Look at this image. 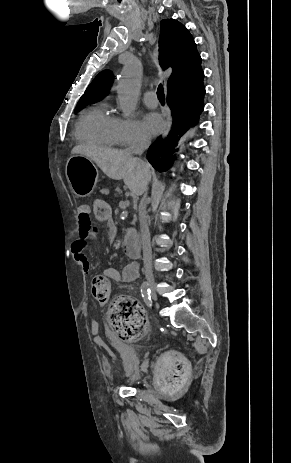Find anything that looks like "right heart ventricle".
Here are the masks:
<instances>
[{
    "label": "right heart ventricle",
    "instance_id": "obj_1",
    "mask_svg": "<svg viewBox=\"0 0 291 463\" xmlns=\"http://www.w3.org/2000/svg\"><path fill=\"white\" fill-rule=\"evenodd\" d=\"M118 120L105 104L95 106L80 116L75 128L76 139L105 147L119 145Z\"/></svg>",
    "mask_w": 291,
    "mask_h": 463
}]
</instances>
